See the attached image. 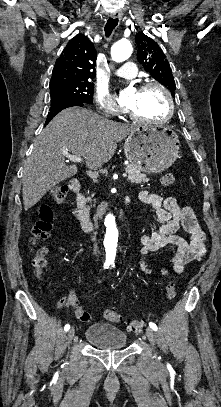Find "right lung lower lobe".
I'll list each match as a JSON object with an SVG mask.
<instances>
[{
  "instance_id": "98d812e1",
  "label": "right lung lower lobe",
  "mask_w": 221,
  "mask_h": 407,
  "mask_svg": "<svg viewBox=\"0 0 221 407\" xmlns=\"http://www.w3.org/2000/svg\"><path fill=\"white\" fill-rule=\"evenodd\" d=\"M85 103L76 100H64L51 105L50 112L48 113L46 123L59 113L61 110L72 106H83Z\"/></svg>"
}]
</instances>
